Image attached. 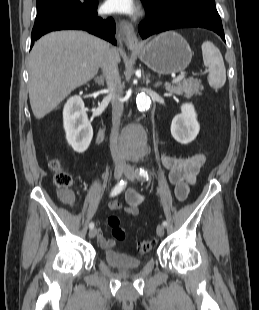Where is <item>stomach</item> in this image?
<instances>
[{"label":"stomach","instance_id":"obj_1","mask_svg":"<svg viewBox=\"0 0 259 310\" xmlns=\"http://www.w3.org/2000/svg\"><path fill=\"white\" fill-rule=\"evenodd\" d=\"M141 61L159 74L178 73L191 62L192 51L186 40L169 31L155 37L140 48H131Z\"/></svg>","mask_w":259,"mask_h":310}]
</instances>
